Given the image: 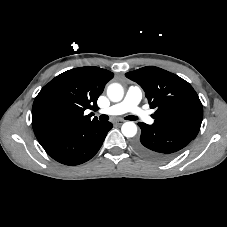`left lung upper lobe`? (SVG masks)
<instances>
[{
  "instance_id": "1",
  "label": "left lung upper lobe",
  "mask_w": 227,
  "mask_h": 227,
  "mask_svg": "<svg viewBox=\"0 0 227 227\" xmlns=\"http://www.w3.org/2000/svg\"><path fill=\"white\" fill-rule=\"evenodd\" d=\"M125 75L143 88L151 107H157L153 126L175 130L192 138L197 136L203 107L187 81L154 66L143 67Z\"/></svg>"
}]
</instances>
